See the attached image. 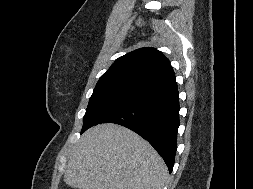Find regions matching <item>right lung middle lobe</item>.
<instances>
[{"instance_id":"right-lung-middle-lobe-1","label":"right lung middle lobe","mask_w":253,"mask_h":189,"mask_svg":"<svg viewBox=\"0 0 253 189\" xmlns=\"http://www.w3.org/2000/svg\"><path fill=\"white\" fill-rule=\"evenodd\" d=\"M148 92L132 87H105L94 89L83 117L81 133L110 113L131 104Z\"/></svg>"}]
</instances>
